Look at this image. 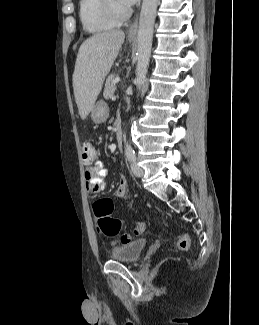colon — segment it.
<instances>
[{"label": "colon", "mask_w": 259, "mask_h": 325, "mask_svg": "<svg viewBox=\"0 0 259 325\" xmlns=\"http://www.w3.org/2000/svg\"><path fill=\"white\" fill-rule=\"evenodd\" d=\"M81 156L84 162H92L98 156V150L91 141H83L81 144ZM114 203L109 198H103L96 201L93 205L94 216L97 220L98 229L106 236L118 235L124 224L119 219L113 217ZM146 229L144 222H136L133 225V235H141ZM132 234L124 233L121 235L120 241L125 244L132 240ZM177 249L180 251H186L190 247V239L187 234L179 236L177 243Z\"/></svg>", "instance_id": "obj_1"}]
</instances>
